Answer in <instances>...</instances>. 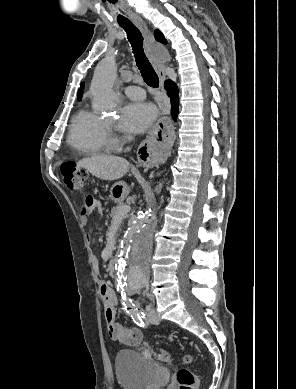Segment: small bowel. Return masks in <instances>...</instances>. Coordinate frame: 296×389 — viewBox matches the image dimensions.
Here are the masks:
<instances>
[{
	"instance_id": "c3829d8e",
	"label": "small bowel",
	"mask_w": 296,
	"mask_h": 389,
	"mask_svg": "<svg viewBox=\"0 0 296 389\" xmlns=\"http://www.w3.org/2000/svg\"><path fill=\"white\" fill-rule=\"evenodd\" d=\"M93 211L101 213L102 204L94 197L85 195L81 206V221L83 224H88ZM100 296L104 305V316L110 338L120 344L138 345L143 339V332L136 327L126 328L116 321L117 296L109 284H101Z\"/></svg>"
}]
</instances>
